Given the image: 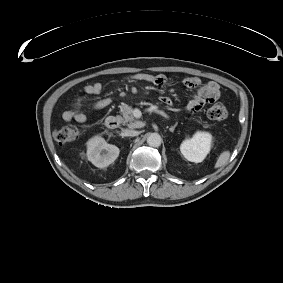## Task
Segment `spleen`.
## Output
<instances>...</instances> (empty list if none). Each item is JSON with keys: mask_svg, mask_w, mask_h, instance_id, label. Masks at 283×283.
Returning <instances> with one entry per match:
<instances>
[{"mask_svg": "<svg viewBox=\"0 0 283 283\" xmlns=\"http://www.w3.org/2000/svg\"><path fill=\"white\" fill-rule=\"evenodd\" d=\"M229 157H230V151H228V150L227 151H223L219 155V157H218V159H217V161L215 163L214 168H219V167H222L223 165H225L227 163V161L229 160Z\"/></svg>", "mask_w": 283, "mask_h": 283, "instance_id": "1", "label": "spleen"}]
</instances>
